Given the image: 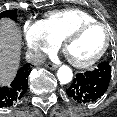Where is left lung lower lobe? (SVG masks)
<instances>
[{
    "mask_svg": "<svg viewBox=\"0 0 117 117\" xmlns=\"http://www.w3.org/2000/svg\"><path fill=\"white\" fill-rule=\"evenodd\" d=\"M111 65L100 63L97 68L76 74L67 95L78 103H90L98 100L108 89L111 79Z\"/></svg>",
    "mask_w": 117,
    "mask_h": 117,
    "instance_id": "1",
    "label": "left lung lower lobe"
}]
</instances>
